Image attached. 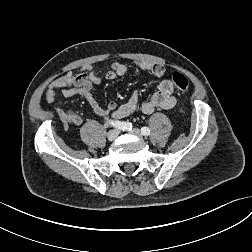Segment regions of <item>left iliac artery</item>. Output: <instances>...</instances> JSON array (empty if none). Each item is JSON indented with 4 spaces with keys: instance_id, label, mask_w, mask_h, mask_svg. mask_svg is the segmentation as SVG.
<instances>
[{
    "instance_id": "obj_1",
    "label": "left iliac artery",
    "mask_w": 252,
    "mask_h": 252,
    "mask_svg": "<svg viewBox=\"0 0 252 252\" xmlns=\"http://www.w3.org/2000/svg\"><path fill=\"white\" fill-rule=\"evenodd\" d=\"M141 133L144 136H148L150 134V129L148 127H143V128H141Z\"/></svg>"
}]
</instances>
